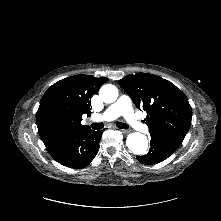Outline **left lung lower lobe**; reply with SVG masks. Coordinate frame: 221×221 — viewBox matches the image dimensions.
<instances>
[{
    "mask_svg": "<svg viewBox=\"0 0 221 221\" xmlns=\"http://www.w3.org/2000/svg\"><path fill=\"white\" fill-rule=\"evenodd\" d=\"M151 147L148 154L143 156H137V160L144 164H157L166 160L171 156L179 144L165 139L158 135H151Z\"/></svg>",
    "mask_w": 221,
    "mask_h": 221,
    "instance_id": "left-lung-lower-lobe-1",
    "label": "left lung lower lobe"
}]
</instances>
